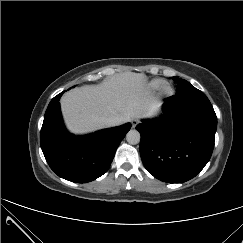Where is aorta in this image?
<instances>
[{"instance_id": "762f6f07", "label": "aorta", "mask_w": 243, "mask_h": 243, "mask_svg": "<svg viewBox=\"0 0 243 243\" xmlns=\"http://www.w3.org/2000/svg\"><path fill=\"white\" fill-rule=\"evenodd\" d=\"M129 144L135 145L140 142V133L137 130H130L126 135Z\"/></svg>"}]
</instances>
